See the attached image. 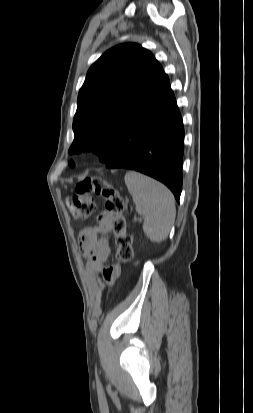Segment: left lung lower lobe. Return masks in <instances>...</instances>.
Wrapping results in <instances>:
<instances>
[{
  "label": "left lung lower lobe",
  "instance_id": "1",
  "mask_svg": "<svg viewBox=\"0 0 253 413\" xmlns=\"http://www.w3.org/2000/svg\"><path fill=\"white\" fill-rule=\"evenodd\" d=\"M184 127L166 75L139 114L123 126L118 155L106 168L139 171L163 182L179 201Z\"/></svg>",
  "mask_w": 253,
  "mask_h": 413
}]
</instances>
